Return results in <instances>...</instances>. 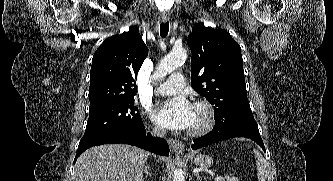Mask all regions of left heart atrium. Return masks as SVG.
Listing matches in <instances>:
<instances>
[{"label": "left heart atrium", "mask_w": 333, "mask_h": 181, "mask_svg": "<svg viewBox=\"0 0 333 181\" xmlns=\"http://www.w3.org/2000/svg\"><path fill=\"white\" fill-rule=\"evenodd\" d=\"M193 117L194 106L182 96L159 104L152 113L157 124L169 129L190 128Z\"/></svg>", "instance_id": "obj_1"}]
</instances>
